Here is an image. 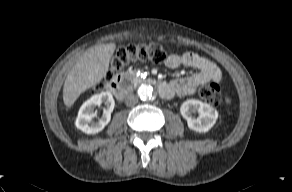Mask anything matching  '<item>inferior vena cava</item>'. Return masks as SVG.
I'll return each mask as SVG.
<instances>
[{
    "label": "inferior vena cava",
    "mask_w": 292,
    "mask_h": 192,
    "mask_svg": "<svg viewBox=\"0 0 292 192\" xmlns=\"http://www.w3.org/2000/svg\"><path fill=\"white\" fill-rule=\"evenodd\" d=\"M138 102V97L134 94H128L125 98L127 106H134Z\"/></svg>",
    "instance_id": "obj_1"
}]
</instances>
